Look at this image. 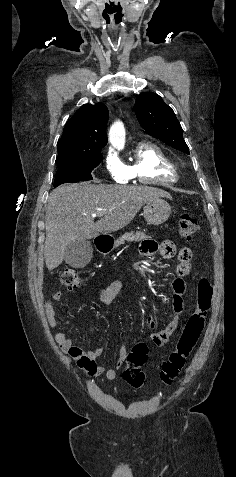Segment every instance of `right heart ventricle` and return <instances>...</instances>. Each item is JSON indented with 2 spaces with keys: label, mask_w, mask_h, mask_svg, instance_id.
<instances>
[{
  "label": "right heart ventricle",
  "mask_w": 236,
  "mask_h": 477,
  "mask_svg": "<svg viewBox=\"0 0 236 477\" xmlns=\"http://www.w3.org/2000/svg\"><path fill=\"white\" fill-rule=\"evenodd\" d=\"M127 169L130 179L140 184H171L178 179L174 162L152 142L141 143L136 148Z\"/></svg>",
  "instance_id": "e07e8e85"
}]
</instances>
